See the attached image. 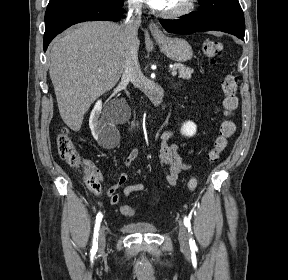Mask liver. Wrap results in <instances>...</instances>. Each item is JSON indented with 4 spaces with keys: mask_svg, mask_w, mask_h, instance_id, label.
I'll use <instances>...</instances> for the list:
<instances>
[{
    "mask_svg": "<svg viewBox=\"0 0 288 280\" xmlns=\"http://www.w3.org/2000/svg\"><path fill=\"white\" fill-rule=\"evenodd\" d=\"M139 48V39L135 42ZM126 39L122 25L109 21L81 23L55 39L49 74L65 124L79 131L91 104L111 90L124 70Z\"/></svg>",
    "mask_w": 288,
    "mask_h": 280,
    "instance_id": "6515ba94",
    "label": "liver"
}]
</instances>
